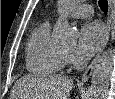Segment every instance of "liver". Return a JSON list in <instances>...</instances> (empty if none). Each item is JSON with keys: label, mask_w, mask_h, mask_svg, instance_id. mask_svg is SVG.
<instances>
[{"label": "liver", "mask_w": 115, "mask_h": 99, "mask_svg": "<svg viewBox=\"0 0 115 99\" xmlns=\"http://www.w3.org/2000/svg\"><path fill=\"white\" fill-rule=\"evenodd\" d=\"M73 86L71 78L60 75L23 77L14 85L16 99H68Z\"/></svg>", "instance_id": "6515ba94"}]
</instances>
